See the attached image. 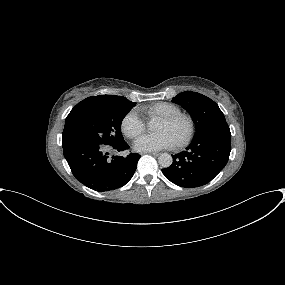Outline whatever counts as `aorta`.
Segmentation results:
<instances>
[{
    "mask_svg": "<svg viewBox=\"0 0 285 285\" xmlns=\"http://www.w3.org/2000/svg\"><path fill=\"white\" fill-rule=\"evenodd\" d=\"M173 162L172 156L168 153H162L159 157H158V163L160 166L167 168L169 166H171Z\"/></svg>",
    "mask_w": 285,
    "mask_h": 285,
    "instance_id": "aorta-1",
    "label": "aorta"
}]
</instances>
